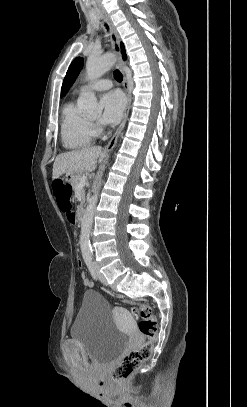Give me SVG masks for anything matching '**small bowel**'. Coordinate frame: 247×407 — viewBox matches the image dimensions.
I'll use <instances>...</instances> for the list:
<instances>
[{"label":"small bowel","mask_w":247,"mask_h":407,"mask_svg":"<svg viewBox=\"0 0 247 407\" xmlns=\"http://www.w3.org/2000/svg\"><path fill=\"white\" fill-rule=\"evenodd\" d=\"M66 218L69 223L74 224L76 221L75 212L72 210L71 213L66 215ZM81 277H82V280H83V283L85 286H88V287L93 286V282L87 277V275L85 273H82Z\"/></svg>","instance_id":"c3829d8e"}]
</instances>
